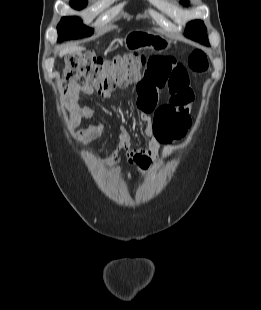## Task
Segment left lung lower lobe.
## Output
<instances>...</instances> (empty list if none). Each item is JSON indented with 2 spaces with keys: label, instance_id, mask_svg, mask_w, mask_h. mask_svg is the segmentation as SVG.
<instances>
[{
  "label": "left lung lower lobe",
  "instance_id": "obj_1",
  "mask_svg": "<svg viewBox=\"0 0 261 310\" xmlns=\"http://www.w3.org/2000/svg\"><path fill=\"white\" fill-rule=\"evenodd\" d=\"M192 39L200 41L201 43L205 45H209L206 33L202 35H196Z\"/></svg>",
  "mask_w": 261,
  "mask_h": 310
}]
</instances>
